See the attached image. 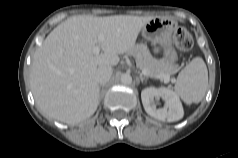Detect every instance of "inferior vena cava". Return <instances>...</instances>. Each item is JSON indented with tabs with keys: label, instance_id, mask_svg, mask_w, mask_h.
I'll return each mask as SVG.
<instances>
[{
	"label": "inferior vena cava",
	"instance_id": "602c4592",
	"mask_svg": "<svg viewBox=\"0 0 238 158\" xmlns=\"http://www.w3.org/2000/svg\"><path fill=\"white\" fill-rule=\"evenodd\" d=\"M112 76V68L107 65H100L97 68L96 79L100 85H105Z\"/></svg>",
	"mask_w": 238,
	"mask_h": 158
}]
</instances>
